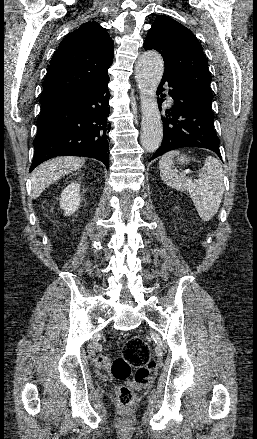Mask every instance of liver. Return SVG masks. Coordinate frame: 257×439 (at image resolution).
I'll return each mask as SVG.
<instances>
[{
    "instance_id": "liver-1",
    "label": "liver",
    "mask_w": 257,
    "mask_h": 439,
    "mask_svg": "<svg viewBox=\"0 0 257 439\" xmlns=\"http://www.w3.org/2000/svg\"><path fill=\"white\" fill-rule=\"evenodd\" d=\"M84 163V159L63 156L39 165L32 173V197L38 198L46 187L62 176L81 168Z\"/></svg>"
}]
</instances>
